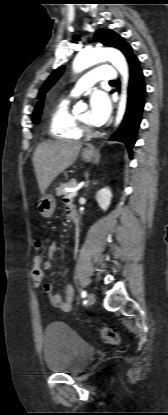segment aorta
<instances>
[{
	"mask_svg": "<svg viewBox=\"0 0 168 415\" xmlns=\"http://www.w3.org/2000/svg\"><path fill=\"white\" fill-rule=\"evenodd\" d=\"M104 60L110 61L122 76V92L115 120V126H118L123 119L127 103L129 71L124 55L111 47L83 50L75 57L73 70L78 73Z\"/></svg>",
	"mask_w": 168,
	"mask_h": 415,
	"instance_id": "obj_1",
	"label": "aorta"
}]
</instances>
